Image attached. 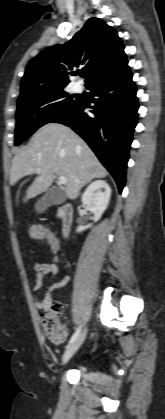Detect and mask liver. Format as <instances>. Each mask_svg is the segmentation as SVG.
Returning <instances> with one entry per match:
<instances>
[{"mask_svg": "<svg viewBox=\"0 0 165 419\" xmlns=\"http://www.w3.org/2000/svg\"><path fill=\"white\" fill-rule=\"evenodd\" d=\"M33 173L37 177L28 187L24 202L47 191L57 176L67 178L66 195L75 199L84 183L108 174L88 144L69 127L58 123L42 126L28 146L14 156L10 184Z\"/></svg>", "mask_w": 165, "mask_h": 419, "instance_id": "1", "label": "liver"}]
</instances>
